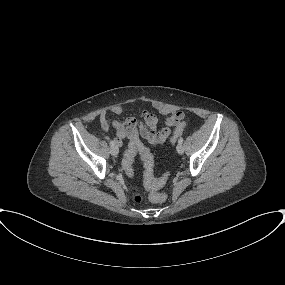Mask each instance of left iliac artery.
I'll return each instance as SVG.
<instances>
[{"label":"left iliac artery","instance_id":"1","mask_svg":"<svg viewBox=\"0 0 285 285\" xmlns=\"http://www.w3.org/2000/svg\"><path fill=\"white\" fill-rule=\"evenodd\" d=\"M183 141H184V140H183V138L181 137V138H179L178 143H179V144H182Z\"/></svg>","mask_w":285,"mask_h":285}]
</instances>
